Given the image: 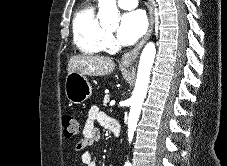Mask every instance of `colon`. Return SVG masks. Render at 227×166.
I'll use <instances>...</instances> for the list:
<instances>
[{
    "mask_svg": "<svg viewBox=\"0 0 227 166\" xmlns=\"http://www.w3.org/2000/svg\"><path fill=\"white\" fill-rule=\"evenodd\" d=\"M63 133L66 138H73L79 133V123L75 116L64 115L62 118Z\"/></svg>",
    "mask_w": 227,
    "mask_h": 166,
    "instance_id": "obj_1",
    "label": "colon"
}]
</instances>
